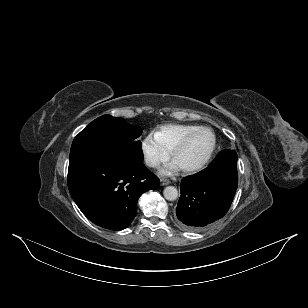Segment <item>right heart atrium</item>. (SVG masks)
Wrapping results in <instances>:
<instances>
[{"instance_id":"d8ad5b80","label":"right heart atrium","mask_w":308,"mask_h":308,"mask_svg":"<svg viewBox=\"0 0 308 308\" xmlns=\"http://www.w3.org/2000/svg\"><path fill=\"white\" fill-rule=\"evenodd\" d=\"M140 152L144 163L150 168H157L170 157V153L151 134L140 141Z\"/></svg>"}]
</instances>
